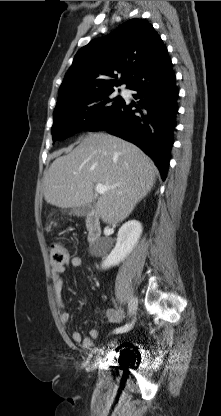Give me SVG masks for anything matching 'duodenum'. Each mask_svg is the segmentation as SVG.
<instances>
[{
    "label": "duodenum",
    "instance_id": "410a0bca",
    "mask_svg": "<svg viewBox=\"0 0 221 416\" xmlns=\"http://www.w3.org/2000/svg\"><path fill=\"white\" fill-rule=\"evenodd\" d=\"M87 240L89 244L97 241L102 234V227L96 213L86 217Z\"/></svg>",
    "mask_w": 221,
    "mask_h": 416
}]
</instances>
